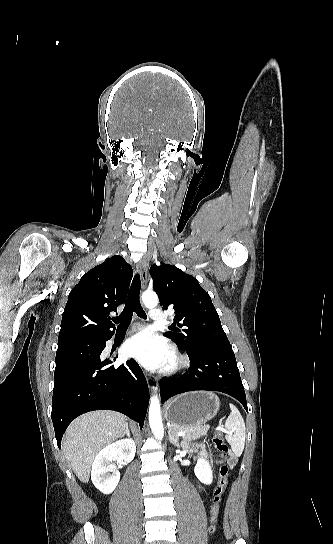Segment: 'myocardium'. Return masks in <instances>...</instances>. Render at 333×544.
<instances>
[{"mask_svg": "<svg viewBox=\"0 0 333 544\" xmlns=\"http://www.w3.org/2000/svg\"><path fill=\"white\" fill-rule=\"evenodd\" d=\"M187 365V358L184 355L180 354L178 351L173 350L166 371L169 373H173L185 368Z\"/></svg>", "mask_w": 333, "mask_h": 544, "instance_id": "obj_1", "label": "myocardium"}]
</instances>
